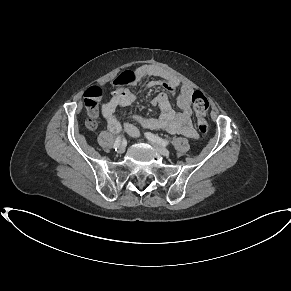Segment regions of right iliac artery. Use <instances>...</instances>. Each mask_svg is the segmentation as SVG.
Here are the masks:
<instances>
[{
    "label": "right iliac artery",
    "instance_id": "obj_1",
    "mask_svg": "<svg viewBox=\"0 0 291 291\" xmlns=\"http://www.w3.org/2000/svg\"><path fill=\"white\" fill-rule=\"evenodd\" d=\"M120 143H121V136H118L113 145V148L115 149V151L118 149Z\"/></svg>",
    "mask_w": 291,
    "mask_h": 291
}]
</instances>
